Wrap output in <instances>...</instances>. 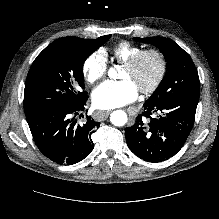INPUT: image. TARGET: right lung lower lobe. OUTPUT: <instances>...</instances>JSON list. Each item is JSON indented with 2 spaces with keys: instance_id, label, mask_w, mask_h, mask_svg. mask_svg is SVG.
<instances>
[{
  "instance_id": "98d812e1",
  "label": "right lung lower lobe",
  "mask_w": 219,
  "mask_h": 219,
  "mask_svg": "<svg viewBox=\"0 0 219 219\" xmlns=\"http://www.w3.org/2000/svg\"><path fill=\"white\" fill-rule=\"evenodd\" d=\"M86 101L76 106H49L26 116L37 147L52 161L71 165L93 150L91 134L100 123L90 116L82 123L77 117L85 109Z\"/></svg>"
}]
</instances>
